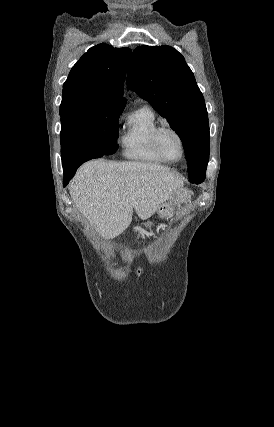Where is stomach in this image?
I'll return each instance as SVG.
<instances>
[{
  "mask_svg": "<svg viewBox=\"0 0 274 427\" xmlns=\"http://www.w3.org/2000/svg\"><path fill=\"white\" fill-rule=\"evenodd\" d=\"M169 206L172 208V202L161 204L160 208H158V214L160 217H169V215H171V208H169ZM144 225H146V227H151L152 221H147V223H144Z\"/></svg>",
  "mask_w": 274,
  "mask_h": 427,
  "instance_id": "obj_1",
  "label": "stomach"
}]
</instances>
